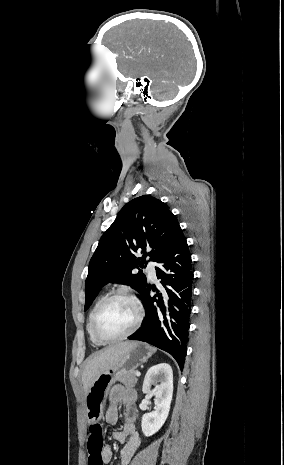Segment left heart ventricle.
<instances>
[{"label": "left heart ventricle", "instance_id": "left-heart-ventricle-1", "mask_svg": "<svg viewBox=\"0 0 284 465\" xmlns=\"http://www.w3.org/2000/svg\"><path fill=\"white\" fill-rule=\"evenodd\" d=\"M137 319L134 306L124 300L109 304L100 315L96 331L102 339H115L127 334Z\"/></svg>", "mask_w": 284, "mask_h": 465}]
</instances>
